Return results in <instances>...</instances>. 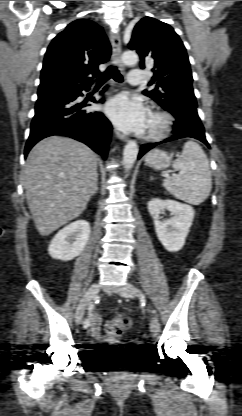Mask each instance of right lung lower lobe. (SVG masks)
I'll use <instances>...</instances> for the list:
<instances>
[{
    "instance_id": "98d812e1",
    "label": "right lung lower lobe",
    "mask_w": 242,
    "mask_h": 416,
    "mask_svg": "<svg viewBox=\"0 0 242 416\" xmlns=\"http://www.w3.org/2000/svg\"><path fill=\"white\" fill-rule=\"evenodd\" d=\"M88 89L89 86L38 96L25 157L38 141L52 135L74 138L103 158L107 157L111 136L109 120L100 112H87L85 105L76 101L77 97L82 96L81 91ZM92 101L97 102L95 99Z\"/></svg>"
}]
</instances>
